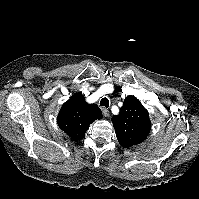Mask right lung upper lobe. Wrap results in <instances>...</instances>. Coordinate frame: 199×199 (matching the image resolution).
<instances>
[{
    "instance_id": "obj_1",
    "label": "right lung upper lobe",
    "mask_w": 199,
    "mask_h": 199,
    "mask_svg": "<svg viewBox=\"0 0 199 199\" xmlns=\"http://www.w3.org/2000/svg\"><path fill=\"white\" fill-rule=\"evenodd\" d=\"M96 119H102L100 108L96 104H88L83 95L74 94L62 105L57 123L69 137L78 141Z\"/></svg>"
}]
</instances>
